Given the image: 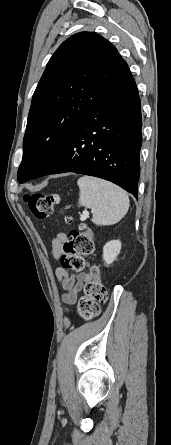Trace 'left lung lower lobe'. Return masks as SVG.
Listing matches in <instances>:
<instances>
[{
	"instance_id": "left-lung-lower-lobe-1",
	"label": "left lung lower lobe",
	"mask_w": 171,
	"mask_h": 445,
	"mask_svg": "<svg viewBox=\"0 0 171 445\" xmlns=\"http://www.w3.org/2000/svg\"><path fill=\"white\" fill-rule=\"evenodd\" d=\"M141 103L134 78L93 104L30 179L74 172L111 181L137 197L142 144Z\"/></svg>"
}]
</instances>
